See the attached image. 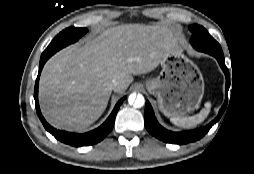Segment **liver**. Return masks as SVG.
<instances>
[{
    "label": "liver",
    "mask_w": 254,
    "mask_h": 174,
    "mask_svg": "<svg viewBox=\"0 0 254 174\" xmlns=\"http://www.w3.org/2000/svg\"><path fill=\"white\" fill-rule=\"evenodd\" d=\"M177 48L170 29L126 24L104 30L84 46L71 45L44 65L39 102L46 120L57 129L83 131L107 107L113 79L123 93L132 75L151 72L163 54Z\"/></svg>",
    "instance_id": "6515ba94"
}]
</instances>
